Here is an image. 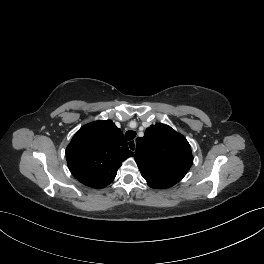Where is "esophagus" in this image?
<instances>
[{
	"label": "esophagus",
	"instance_id": "34e87169",
	"mask_svg": "<svg viewBox=\"0 0 264 264\" xmlns=\"http://www.w3.org/2000/svg\"><path fill=\"white\" fill-rule=\"evenodd\" d=\"M128 148L129 150H131L132 152H135L136 150V141L135 140H131L128 142Z\"/></svg>",
	"mask_w": 264,
	"mask_h": 264
}]
</instances>
